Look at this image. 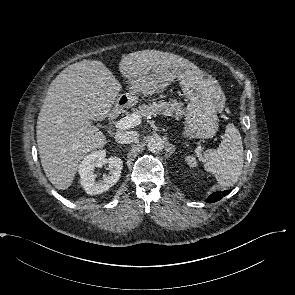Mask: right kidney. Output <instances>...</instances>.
Wrapping results in <instances>:
<instances>
[{"label": "right kidney", "instance_id": "obj_1", "mask_svg": "<svg viewBox=\"0 0 295 295\" xmlns=\"http://www.w3.org/2000/svg\"><path fill=\"white\" fill-rule=\"evenodd\" d=\"M105 150L94 151L86 155L79 165L80 182L87 194L95 195L107 191L116 184L120 178L123 162L116 156L108 159ZM108 166L109 173L102 180H95V168Z\"/></svg>", "mask_w": 295, "mask_h": 295}]
</instances>
